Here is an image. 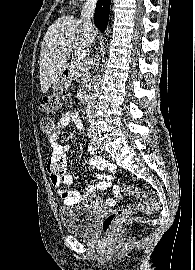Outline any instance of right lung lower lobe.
Masks as SVG:
<instances>
[{
  "mask_svg": "<svg viewBox=\"0 0 195 270\" xmlns=\"http://www.w3.org/2000/svg\"><path fill=\"white\" fill-rule=\"evenodd\" d=\"M111 0H98L95 14L94 23L96 27L103 32L108 24Z\"/></svg>",
  "mask_w": 195,
  "mask_h": 270,
  "instance_id": "obj_1",
  "label": "right lung lower lobe"
}]
</instances>
